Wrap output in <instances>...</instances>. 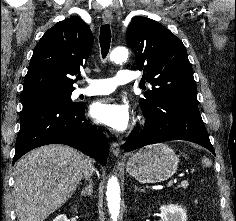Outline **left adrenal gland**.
<instances>
[{
	"mask_svg": "<svg viewBox=\"0 0 236 221\" xmlns=\"http://www.w3.org/2000/svg\"><path fill=\"white\" fill-rule=\"evenodd\" d=\"M133 187H134V191H135V192H137V191H138V192H145V190H144V189H142V188H139V187H138V186H136V185H134Z\"/></svg>",
	"mask_w": 236,
	"mask_h": 221,
	"instance_id": "a2214340",
	"label": "left adrenal gland"
}]
</instances>
